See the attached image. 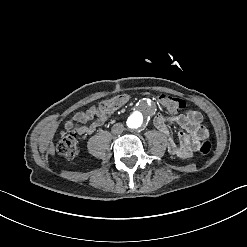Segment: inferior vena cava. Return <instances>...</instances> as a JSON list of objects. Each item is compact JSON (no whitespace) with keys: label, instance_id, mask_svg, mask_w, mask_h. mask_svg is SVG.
<instances>
[{"label":"inferior vena cava","instance_id":"inferior-vena-cava-1","mask_svg":"<svg viewBox=\"0 0 247 247\" xmlns=\"http://www.w3.org/2000/svg\"><path fill=\"white\" fill-rule=\"evenodd\" d=\"M125 130L124 125L122 123H116L112 126L113 134H121Z\"/></svg>","mask_w":247,"mask_h":247}]
</instances>
